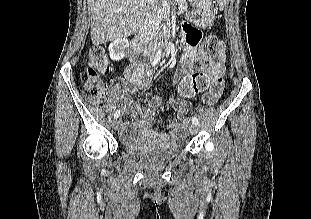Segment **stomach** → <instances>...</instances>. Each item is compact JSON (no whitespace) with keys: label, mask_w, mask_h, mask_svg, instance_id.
<instances>
[{"label":"stomach","mask_w":311,"mask_h":219,"mask_svg":"<svg viewBox=\"0 0 311 219\" xmlns=\"http://www.w3.org/2000/svg\"><path fill=\"white\" fill-rule=\"evenodd\" d=\"M193 9L187 14V19L201 28L210 26L213 22L212 0H189Z\"/></svg>","instance_id":"1"}]
</instances>
